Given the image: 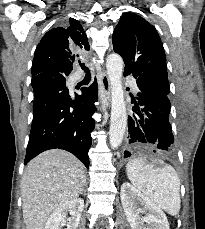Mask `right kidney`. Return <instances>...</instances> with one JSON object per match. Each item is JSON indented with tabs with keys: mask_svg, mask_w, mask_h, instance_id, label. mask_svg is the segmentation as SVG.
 Here are the masks:
<instances>
[{
	"mask_svg": "<svg viewBox=\"0 0 205 229\" xmlns=\"http://www.w3.org/2000/svg\"><path fill=\"white\" fill-rule=\"evenodd\" d=\"M83 208L84 200L81 198L63 203L49 216L45 229H61L64 225L67 226L66 229H77ZM68 212L69 218H67Z\"/></svg>",
	"mask_w": 205,
	"mask_h": 229,
	"instance_id": "obj_1",
	"label": "right kidney"
}]
</instances>
